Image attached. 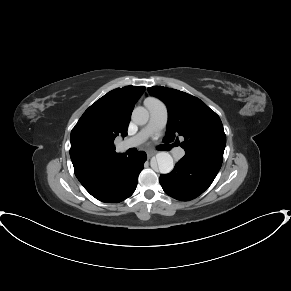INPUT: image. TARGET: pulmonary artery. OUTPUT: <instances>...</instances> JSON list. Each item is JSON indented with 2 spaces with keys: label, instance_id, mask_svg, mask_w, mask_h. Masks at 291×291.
I'll list each match as a JSON object with an SVG mask.
<instances>
[{
  "label": "pulmonary artery",
  "instance_id": "obj_1",
  "mask_svg": "<svg viewBox=\"0 0 291 291\" xmlns=\"http://www.w3.org/2000/svg\"><path fill=\"white\" fill-rule=\"evenodd\" d=\"M144 103L150 112V120L148 124L138 134L121 142L118 145V149L120 151L137 147L142 142H144L152 133L159 131L165 127L168 119V110L166 105L162 101L155 98L146 99ZM172 154L174 158L181 159L185 154V150L183 148H176Z\"/></svg>",
  "mask_w": 291,
  "mask_h": 291
}]
</instances>
